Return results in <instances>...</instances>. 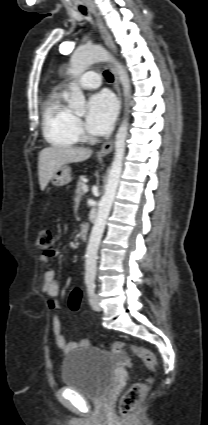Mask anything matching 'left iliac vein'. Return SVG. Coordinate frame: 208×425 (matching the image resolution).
<instances>
[{"label":"left iliac vein","mask_w":208,"mask_h":425,"mask_svg":"<svg viewBox=\"0 0 208 425\" xmlns=\"http://www.w3.org/2000/svg\"><path fill=\"white\" fill-rule=\"evenodd\" d=\"M90 305L92 307L93 310L95 311H100L101 310V306L99 304V297L97 294H93L90 298Z\"/></svg>","instance_id":"left-iliac-vein-1"}]
</instances>
